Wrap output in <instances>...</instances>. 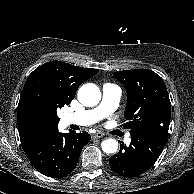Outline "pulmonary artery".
<instances>
[{
	"label": "pulmonary artery",
	"mask_w": 194,
	"mask_h": 194,
	"mask_svg": "<svg viewBox=\"0 0 194 194\" xmlns=\"http://www.w3.org/2000/svg\"><path fill=\"white\" fill-rule=\"evenodd\" d=\"M120 96L119 87L113 84H105L102 88V100L98 106L89 110L67 113L64 115V122L67 125H92L115 111L119 104ZM130 141V136H126L125 142L130 143Z\"/></svg>",
	"instance_id": "pulmonary-artery-1"
}]
</instances>
